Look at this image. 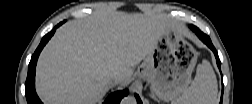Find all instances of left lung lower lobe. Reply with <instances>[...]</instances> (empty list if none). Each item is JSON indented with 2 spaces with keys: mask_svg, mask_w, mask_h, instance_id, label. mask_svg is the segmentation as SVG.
Returning a JSON list of instances; mask_svg holds the SVG:
<instances>
[{
  "mask_svg": "<svg viewBox=\"0 0 252 104\" xmlns=\"http://www.w3.org/2000/svg\"><path fill=\"white\" fill-rule=\"evenodd\" d=\"M189 27H190L191 30H193V31L196 33V35H197V36H198V37H199V38H200V39H201V40H202L213 52H214V55H215V57H216V61H217L218 68H219V70H220V72H221V68H220L221 62H220L218 53H217L216 49L214 48V46H213V44H212V42H211L209 36H207L206 34H204L202 31L199 30V28H197V27H195V26H193V25H190ZM135 97H136V99H137V103H138V104H142V101H141L140 97H139L137 94H135ZM222 97H223V87H222V95H221V101H220V103H222Z\"/></svg>",
  "mask_w": 252,
  "mask_h": 104,
  "instance_id": "0a47b994",
  "label": "left lung lower lobe"
}]
</instances>
